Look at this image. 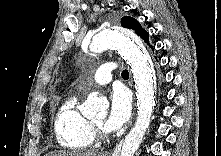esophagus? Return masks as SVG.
Instances as JSON below:
<instances>
[{"label":"esophagus","mask_w":221,"mask_h":156,"mask_svg":"<svg viewBox=\"0 0 221 156\" xmlns=\"http://www.w3.org/2000/svg\"><path fill=\"white\" fill-rule=\"evenodd\" d=\"M101 156H109L108 152H104Z\"/></svg>","instance_id":"1"}]
</instances>
